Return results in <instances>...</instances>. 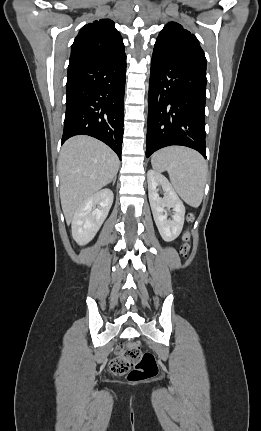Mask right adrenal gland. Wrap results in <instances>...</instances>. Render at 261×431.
Here are the masks:
<instances>
[{
    "label": "right adrenal gland",
    "instance_id": "1",
    "mask_svg": "<svg viewBox=\"0 0 261 431\" xmlns=\"http://www.w3.org/2000/svg\"><path fill=\"white\" fill-rule=\"evenodd\" d=\"M112 182H113L112 184H113V185H115V182H116V176L113 178Z\"/></svg>",
    "mask_w": 261,
    "mask_h": 431
}]
</instances>
